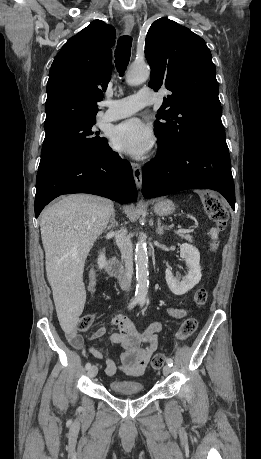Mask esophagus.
<instances>
[{"label":"esophagus","instance_id":"34e87169","mask_svg":"<svg viewBox=\"0 0 261 459\" xmlns=\"http://www.w3.org/2000/svg\"><path fill=\"white\" fill-rule=\"evenodd\" d=\"M124 23H125L127 31L131 32L133 27H134V24H135L134 18L125 17ZM131 165H132V169H133V176H134V180H135L136 186H137V188L140 189L142 187V169H141V166L138 163H135V162H133Z\"/></svg>","mask_w":261,"mask_h":459}]
</instances>
